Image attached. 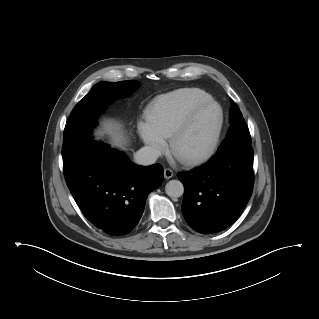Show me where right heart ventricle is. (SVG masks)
Wrapping results in <instances>:
<instances>
[{
    "instance_id": "e07e8e85",
    "label": "right heart ventricle",
    "mask_w": 319,
    "mask_h": 319,
    "mask_svg": "<svg viewBox=\"0 0 319 319\" xmlns=\"http://www.w3.org/2000/svg\"><path fill=\"white\" fill-rule=\"evenodd\" d=\"M211 96L199 88H182L157 96L148 106V123L163 137L170 138L191 110Z\"/></svg>"
}]
</instances>
